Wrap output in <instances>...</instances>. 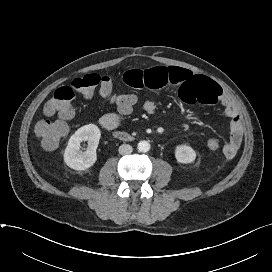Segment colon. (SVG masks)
Listing matches in <instances>:
<instances>
[{
	"label": "colon",
	"instance_id": "5ec220e1",
	"mask_svg": "<svg viewBox=\"0 0 272 272\" xmlns=\"http://www.w3.org/2000/svg\"><path fill=\"white\" fill-rule=\"evenodd\" d=\"M97 87L100 89L101 96L124 114H129L138 101L135 94L116 92L109 77L85 74L75 78L70 85L59 87L54 92L52 98L44 106L46 117L36 124L35 132L45 149H54L60 140L67 135L69 120L74 113L72 101L75 92L90 97ZM52 116H58L59 119L52 120L50 118ZM207 147L210 150H217L220 143L217 139L210 138L207 140Z\"/></svg>",
	"mask_w": 272,
	"mask_h": 272
}]
</instances>
